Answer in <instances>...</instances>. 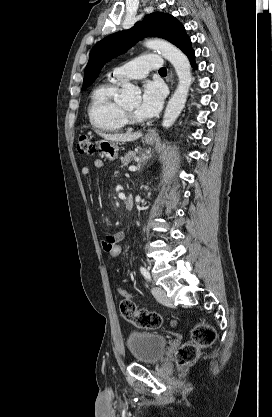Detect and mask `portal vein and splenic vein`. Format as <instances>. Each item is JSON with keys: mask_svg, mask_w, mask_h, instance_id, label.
Here are the masks:
<instances>
[{"mask_svg": "<svg viewBox=\"0 0 272 417\" xmlns=\"http://www.w3.org/2000/svg\"><path fill=\"white\" fill-rule=\"evenodd\" d=\"M129 170H130V171H136V170H137V167H135V166H130V167H129Z\"/></svg>", "mask_w": 272, "mask_h": 417, "instance_id": "portal-vein-and-splenic-vein-1", "label": "portal vein and splenic vein"}]
</instances>
